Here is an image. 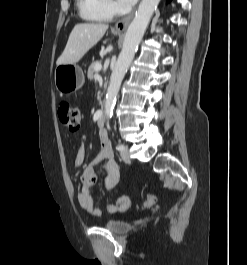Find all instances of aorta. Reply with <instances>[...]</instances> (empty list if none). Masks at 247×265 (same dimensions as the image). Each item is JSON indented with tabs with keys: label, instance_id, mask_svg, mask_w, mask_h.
Returning a JSON list of instances; mask_svg holds the SVG:
<instances>
[{
	"label": "aorta",
	"instance_id": "obj_1",
	"mask_svg": "<svg viewBox=\"0 0 247 265\" xmlns=\"http://www.w3.org/2000/svg\"><path fill=\"white\" fill-rule=\"evenodd\" d=\"M159 2L160 0H142L134 19L126 31L123 48L112 71L107 90L105 115L108 118L112 116L116 97L125 72L134 58L138 45Z\"/></svg>",
	"mask_w": 247,
	"mask_h": 265
}]
</instances>
